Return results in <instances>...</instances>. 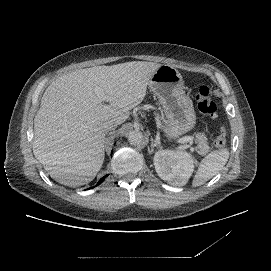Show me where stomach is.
Instances as JSON below:
<instances>
[{
    "instance_id": "0dacf381",
    "label": "stomach",
    "mask_w": 271,
    "mask_h": 271,
    "mask_svg": "<svg viewBox=\"0 0 271 271\" xmlns=\"http://www.w3.org/2000/svg\"><path fill=\"white\" fill-rule=\"evenodd\" d=\"M148 85L163 108L166 121L160 125V130L168 141L175 142L194 129L196 113L184 92L182 75L175 67L162 65Z\"/></svg>"
}]
</instances>
